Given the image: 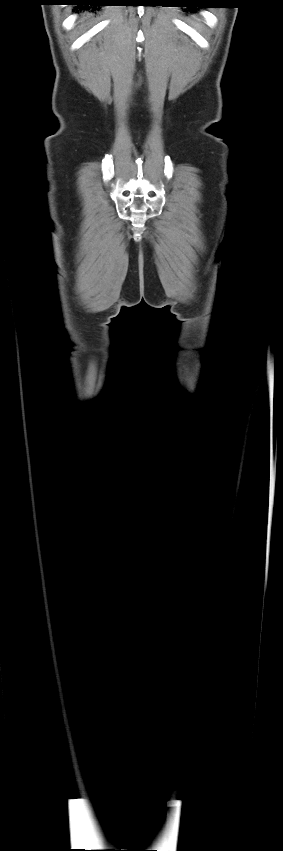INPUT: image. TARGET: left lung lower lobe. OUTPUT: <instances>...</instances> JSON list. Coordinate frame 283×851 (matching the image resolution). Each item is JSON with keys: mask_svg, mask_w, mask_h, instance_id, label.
Instances as JSON below:
<instances>
[{"mask_svg": "<svg viewBox=\"0 0 283 851\" xmlns=\"http://www.w3.org/2000/svg\"><path fill=\"white\" fill-rule=\"evenodd\" d=\"M204 2H206V1H204V0H197V1H194V3H204Z\"/></svg>", "mask_w": 283, "mask_h": 851, "instance_id": "0a47b994", "label": "left lung lower lobe"}]
</instances>
